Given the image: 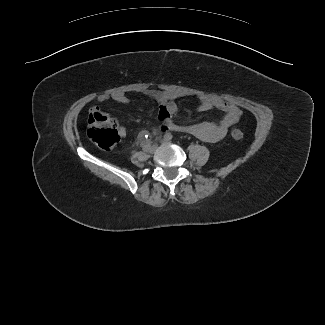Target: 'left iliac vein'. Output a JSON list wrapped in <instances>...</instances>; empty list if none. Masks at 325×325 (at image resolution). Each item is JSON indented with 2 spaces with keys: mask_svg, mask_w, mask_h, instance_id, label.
<instances>
[{
  "mask_svg": "<svg viewBox=\"0 0 325 325\" xmlns=\"http://www.w3.org/2000/svg\"><path fill=\"white\" fill-rule=\"evenodd\" d=\"M161 142H162L163 144H165V143H168L169 140H167V139L164 138V139L161 140Z\"/></svg>",
  "mask_w": 325,
  "mask_h": 325,
  "instance_id": "obj_1",
  "label": "left iliac vein"
}]
</instances>
